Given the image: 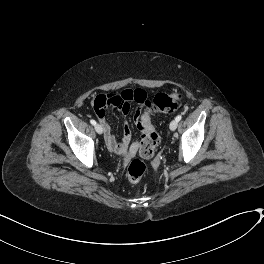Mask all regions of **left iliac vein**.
Instances as JSON below:
<instances>
[{
    "label": "left iliac vein",
    "mask_w": 264,
    "mask_h": 264,
    "mask_svg": "<svg viewBox=\"0 0 264 264\" xmlns=\"http://www.w3.org/2000/svg\"><path fill=\"white\" fill-rule=\"evenodd\" d=\"M177 126H178V121L176 119H174L171 121L169 127H170V130L174 131V130H176Z\"/></svg>",
    "instance_id": "left-iliac-vein-1"
}]
</instances>
